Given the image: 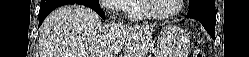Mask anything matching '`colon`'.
Segmentation results:
<instances>
[{
	"instance_id": "5ec220e1",
	"label": "colon",
	"mask_w": 249,
	"mask_h": 57,
	"mask_svg": "<svg viewBox=\"0 0 249 57\" xmlns=\"http://www.w3.org/2000/svg\"><path fill=\"white\" fill-rule=\"evenodd\" d=\"M193 57H204V54L203 52L199 51V50H196L194 53H193Z\"/></svg>"
}]
</instances>
